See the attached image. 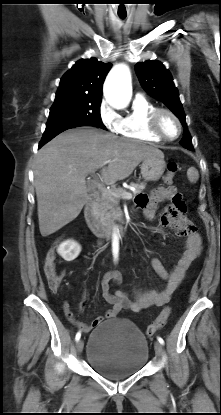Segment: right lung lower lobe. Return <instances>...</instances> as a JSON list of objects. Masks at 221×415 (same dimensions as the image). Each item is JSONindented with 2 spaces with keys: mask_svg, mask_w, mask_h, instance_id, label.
Listing matches in <instances>:
<instances>
[{
  "mask_svg": "<svg viewBox=\"0 0 221 415\" xmlns=\"http://www.w3.org/2000/svg\"><path fill=\"white\" fill-rule=\"evenodd\" d=\"M79 126H89V125L85 123H81V122H57V123H51V124L47 123L45 132L39 143V147L43 146L45 143L50 141L52 138H54L61 132L67 129H71V128H75Z\"/></svg>",
  "mask_w": 221,
  "mask_h": 415,
  "instance_id": "1",
  "label": "right lung lower lobe"
}]
</instances>
